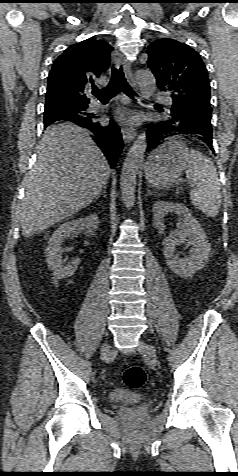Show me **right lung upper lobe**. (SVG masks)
Returning <instances> with one entry per match:
<instances>
[{"label": "right lung upper lobe", "mask_w": 238, "mask_h": 476, "mask_svg": "<svg viewBox=\"0 0 238 476\" xmlns=\"http://www.w3.org/2000/svg\"><path fill=\"white\" fill-rule=\"evenodd\" d=\"M108 42L89 38L67 48L49 73L46 103L88 106L85 93L96 88L101 73L110 65Z\"/></svg>", "instance_id": "obj_1"}]
</instances>
